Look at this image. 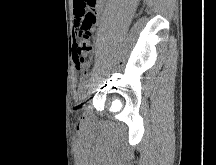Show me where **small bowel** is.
I'll return each instance as SVG.
<instances>
[{"instance_id":"1","label":"small bowel","mask_w":216,"mask_h":165,"mask_svg":"<svg viewBox=\"0 0 216 165\" xmlns=\"http://www.w3.org/2000/svg\"><path fill=\"white\" fill-rule=\"evenodd\" d=\"M75 14V29L78 27L87 12L94 15L95 22L103 13L104 0H73Z\"/></svg>"}]
</instances>
